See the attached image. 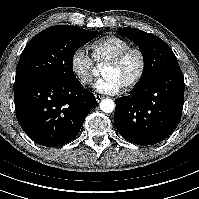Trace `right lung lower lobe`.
Returning a JSON list of instances; mask_svg holds the SVG:
<instances>
[{
	"instance_id": "98d812e1",
	"label": "right lung lower lobe",
	"mask_w": 199,
	"mask_h": 199,
	"mask_svg": "<svg viewBox=\"0 0 199 199\" xmlns=\"http://www.w3.org/2000/svg\"><path fill=\"white\" fill-rule=\"evenodd\" d=\"M18 123L35 142L57 147L72 141L96 99L78 79L35 78L14 84Z\"/></svg>"
}]
</instances>
